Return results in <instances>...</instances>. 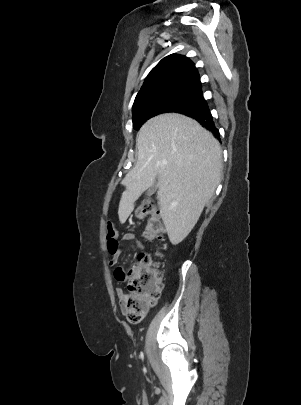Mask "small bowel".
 I'll return each mask as SVG.
<instances>
[{
    "instance_id": "1",
    "label": "small bowel",
    "mask_w": 301,
    "mask_h": 405,
    "mask_svg": "<svg viewBox=\"0 0 301 405\" xmlns=\"http://www.w3.org/2000/svg\"><path fill=\"white\" fill-rule=\"evenodd\" d=\"M121 239H122V241L134 242L139 248H143L142 243L132 233L124 234ZM122 253H123V249L118 246L116 251H114V253H112V258H111L110 264H115L118 261V259H119V257L121 256ZM114 275H115V278L120 282H124L127 279L125 270L122 267H117L116 270H115ZM116 293H117V295H118V297L120 298V301H121V299H122V297L124 295V290L121 287H118L116 289Z\"/></svg>"
}]
</instances>
